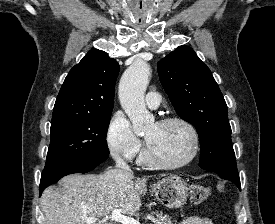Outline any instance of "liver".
Instances as JSON below:
<instances>
[{
  "label": "liver",
  "instance_id": "1",
  "mask_svg": "<svg viewBox=\"0 0 275 224\" xmlns=\"http://www.w3.org/2000/svg\"><path fill=\"white\" fill-rule=\"evenodd\" d=\"M146 181L126 176L120 169L100 175H67L60 180L59 190L48 187L42 193L40 206L45 224H88L84 219L101 218L115 209L131 215L141 208Z\"/></svg>",
  "mask_w": 275,
  "mask_h": 224
}]
</instances>
